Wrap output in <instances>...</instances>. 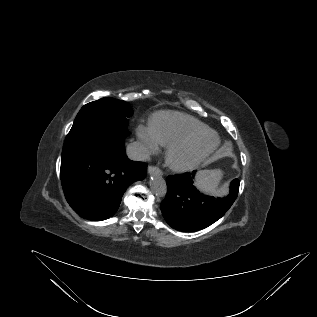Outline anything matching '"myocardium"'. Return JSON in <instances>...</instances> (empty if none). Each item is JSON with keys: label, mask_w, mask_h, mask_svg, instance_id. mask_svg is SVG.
<instances>
[{"label": "myocardium", "mask_w": 317, "mask_h": 317, "mask_svg": "<svg viewBox=\"0 0 317 317\" xmlns=\"http://www.w3.org/2000/svg\"><path fill=\"white\" fill-rule=\"evenodd\" d=\"M206 138H211V141L204 146L199 147L195 153L187 160L177 161L175 154L185 147L198 143ZM220 138L212 130H204L192 134H188L173 143H171L165 152V161L168 167L177 172H185L197 167L201 162L211 156L219 147Z\"/></svg>", "instance_id": "myocardium-1"}]
</instances>
